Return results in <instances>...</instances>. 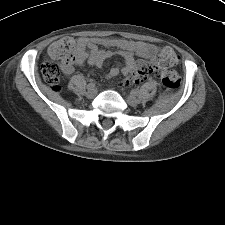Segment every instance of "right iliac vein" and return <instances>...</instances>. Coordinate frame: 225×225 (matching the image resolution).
I'll list each match as a JSON object with an SVG mask.
<instances>
[{"instance_id":"1","label":"right iliac vein","mask_w":225,"mask_h":225,"mask_svg":"<svg viewBox=\"0 0 225 225\" xmlns=\"http://www.w3.org/2000/svg\"><path fill=\"white\" fill-rule=\"evenodd\" d=\"M96 94H97V89L94 86V87H91L88 89L86 96H87V98L92 99L96 96Z\"/></svg>"}]
</instances>
